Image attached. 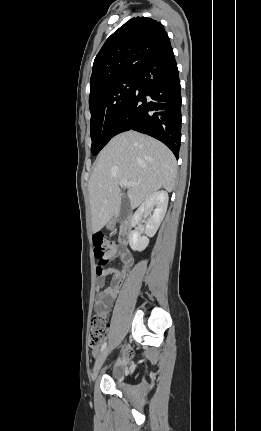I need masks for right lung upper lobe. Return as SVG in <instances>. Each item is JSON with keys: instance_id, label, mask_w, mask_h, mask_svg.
<instances>
[{"instance_id": "cb5924a9", "label": "right lung upper lobe", "mask_w": 261, "mask_h": 431, "mask_svg": "<svg viewBox=\"0 0 261 431\" xmlns=\"http://www.w3.org/2000/svg\"><path fill=\"white\" fill-rule=\"evenodd\" d=\"M169 47V37L160 22L148 17L132 18L106 40L97 54L90 93L123 77L137 76Z\"/></svg>"}]
</instances>
